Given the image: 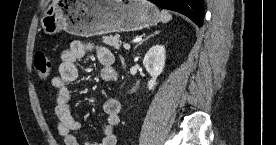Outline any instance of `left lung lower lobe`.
<instances>
[{
	"label": "left lung lower lobe",
	"mask_w": 276,
	"mask_h": 145,
	"mask_svg": "<svg viewBox=\"0 0 276 145\" xmlns=\"http://www.w3.org/2000/svg\"><path fill=\"white\" fill-rule=\"evenodd\" d=\"M156 5L177 11L189 17L199 27L203 24L204 1L203 0H150Z\"/></svg>",
	"instance_id": "0a47b994"
}]
</instances>
